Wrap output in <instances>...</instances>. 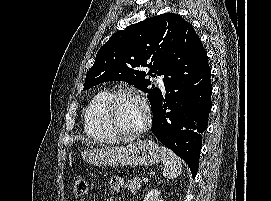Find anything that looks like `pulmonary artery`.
<instances>
[{
    "instance_id": "pulmonary-artery-1",
    "label": "pulmonary artery",
    "mask_w": 271,
    "mask_h": 201,
    "mask_svg": "<svg viewBox=\"0 0 271 201\" xmlns=\"http://www.w3.org/2000/svg\"><path fill=\"white\" fill-rule=\"evenodd\" d=\"M158 82H159V85H160V87L162 88V90H164V89H165V85H164L163 78H162V77H159V78H158Z\"/></svg>"
}]
</instances>
